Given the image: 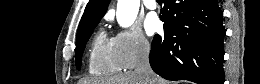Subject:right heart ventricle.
<instances>
[{
    "mask_svg": "<svg viewBox=\"0 0 260 84\" xmlns=\"http://www.w3.org/2000/svg\"><path fill=\"white\" fill-rule=\"evenodd\" d=\"M121 70L113 48V40L101 31L93 39L89 58L88 71L94 76H105Z\"/></svg>",
    "mask_w": 260,
    "mask_h": 84,
    "instance_id": "obj_1",
    "label": "right heart ventricle"
}]
</instances>
